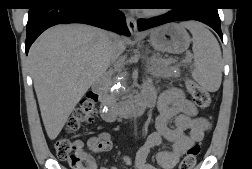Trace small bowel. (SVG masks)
Instances as JSON below:
<instances>
[{
  "label": "small bowel",
  "mask_w": 252,
  "mask_h": 169,
  "mask_svg": "<svg viewBox=\"0 0 252 169\" xmlns=\"http://www.w3.org/2000/svg\"><path fill=\"white\" fill-rule=\"evenodd\" d=\"M142 95L156 98L155 89L147 86ZM159 115L156 118V132L149 135L146 142L139 148L136 154L135 169H156L146 162V159L154 147L163 141L172 144L171 151H159L155 160L162 169H172L181 159L183 154L194 144L200 142L205 132L209 129V122L198 116L196 106L186 98L182 90L172 88L161 93L157 98ZM174 120V127L169 123ZM87 146L93 153L106 152L112 149L113 139L108 132H101L91 136L87 140ZM81 157L86 160L87 167L83 169H97L96 160L91 153L82 149ZM119 160L130 165L131 159L127 156H120ZM100 169H117L114 165L101 167Z\"/></svg>",
  "instance_id": "small-bowel-1"
}]
</instances>
